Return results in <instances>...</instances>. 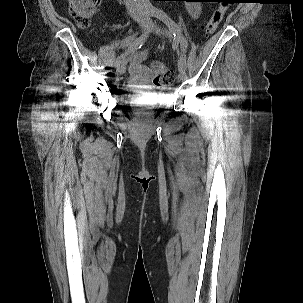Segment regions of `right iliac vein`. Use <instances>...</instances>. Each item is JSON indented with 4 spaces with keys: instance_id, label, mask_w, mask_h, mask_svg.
Returning a JSON list of instances; mask_svg holds the SVG:
<instances>
[{
    "instance_id": "right-iliac-vein-1",
    "label": "right iliac vein",
    "mask_w": 303,
    "mask_h": 303,
    "mask_svg": "<svg viewBox=\"0 0 303 303\" xmlns=\"http://www.w3.org/2000/svg\"><path fill=\"white\" fill-rule=\"evenodd\" d=\"M139 26L141 27L142 30H145L148 27V22L146 20H139ZM126 71V63L123 65H120L117 70H116V74L117 75H122L124 74Z\"/></svg>"
}]
</instances>
